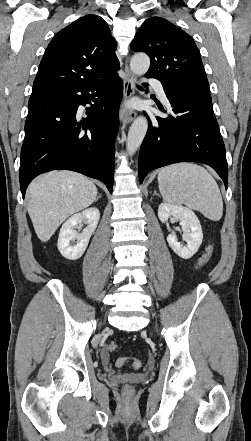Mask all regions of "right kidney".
I'll return each mask as SVG.
<instances>
[{"label":"right kidney","instance_id":"1","mask_svg":"<svg viewBox=\"0 0 251 441\" xmlns=\"http://www.w3.org/2000/svg\"><path fill=\"white\" fill-rule=\"evenodd\" d=\"M99 219V210L92 207L71 216L62 225L57 246L64 258L69 260H77L84 254L90 237L98 225ZM82 221H86L88 226L83 230L82 233L79 234L74 228ZM75 240H77V242L75 244H71V242Z\"/></svg>","mask_w":251,"mask_h":441}]
</instances>
